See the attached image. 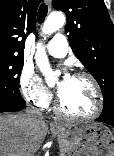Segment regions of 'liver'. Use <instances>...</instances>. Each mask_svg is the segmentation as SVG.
Listing matches in <instances>:
<instances>
[{"label":"liver","instance_id":"obj_1","mask_svg":"<svg viewBox=\"0 0 114 156\" xmlns=\"http://www.w3.org/2000/svg\"><path fill=\"white\" fill-rule=\"evenodd\" d=\"M48 131L44 119L25 113L0 114V156H34Z\"/></svg>","mask_w":114,"mask_h":156}]
</instances>
